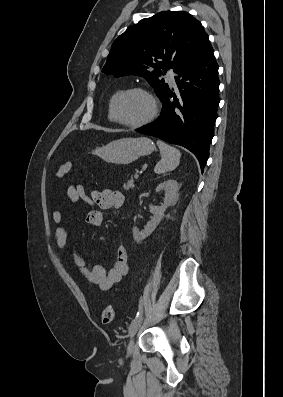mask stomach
<instances>
[{
  "mask_svg": "<svg viewBox=\"0 0 283 397\" xmlns=\"http://www.w3.org/2000/svg\"><path fill=\"white\" fill-rule=\"evenodd\" d=\"M155 149L154 142L147 137H129L114 140L93 152L106 162L129 164L141 156L151 154Z\"/></svg>",
  "mask_w": 283,
  "mask_h": 397,
  "instance_id": "obj_1",
  "label": "stomach"
}]
</instances>
